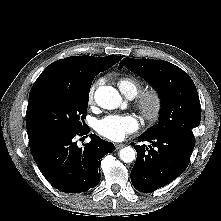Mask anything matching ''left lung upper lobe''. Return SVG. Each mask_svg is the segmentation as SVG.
<instances>
[{"label": "left lung upper lobe", "mask_w": 221, "mask_h": 221, "mask_svg": "<svg viewBox=\"0 0 221 221\" xmlns=\"http://www.w3.org/2000/svg\"><path fill=\"white\" fill-rule=\"evenodd\" d=\"M123 66L152 84L162 101L158 124L144 134L173 136L195 143L192 130L200 124L201 105L190 76L163 60L124 58L118 68Z\"/></svg>", "instance_id": "1"}]
</instances>
